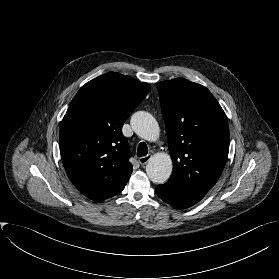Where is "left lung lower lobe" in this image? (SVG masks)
<instances>
[{
	"label": "left lung lower lobe",
	"mask_w": 279,
	"mask_h": 279,
	"mask_svg": "<svg viewBox=\"0 0 279 279\" xmlns=\"http://www.w3.org/2000/svg\"><path fill=\"white\" fill-rule=\"evenodd\" d=\"M155 192L164 202L178 209L191 207L205 196V194L168 181L165 184L158 185Z\"/></svg>",
	"instance_id": "obj_1"
}]
</instances>
